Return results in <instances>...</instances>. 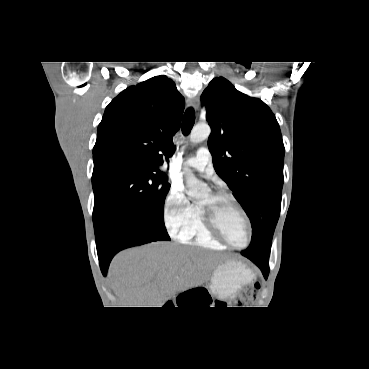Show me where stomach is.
<instances>
[{
    "instance_id": "1",
    "label": "stomach",
    "mask_w": 369,
    "mask_h": 369,
    "mask_svg": "<svg viewBox=\"0 0 369 369\" xmlns=\"http://www.w3.org/2000/svg\"><path fill=\"white\" fill-rule=\"evenodd\" d=\"M253 278L250 270L241 262L229 260L219 264L211 277L212 294L230 299Z\"/></svg>"
}]
</instances>
